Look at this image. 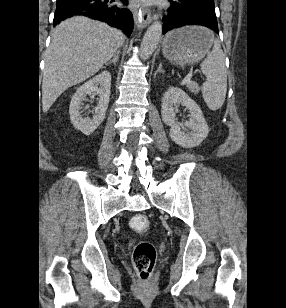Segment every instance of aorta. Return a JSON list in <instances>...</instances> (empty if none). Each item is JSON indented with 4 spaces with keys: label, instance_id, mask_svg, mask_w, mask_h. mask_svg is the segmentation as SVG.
Listing matches in <instances>:
<instances>
[{
    "label": "aorta",
    "instance_id": "1",
    "mask_svg": "<svg viewBox=\"0 0 286 308\" xmlns=\"http://www.w3.org/2000/svg\"><path fill=\"white\" fill-rule=\"evenodd\" d=\"M162 30L163 25L160 21H155L148 27L140 46L139 55L142 59L149 58L156 50L162 35Z\"/></svg>",
    "mask_w": 286,
    "mask_h": 308
}]
</instances>
